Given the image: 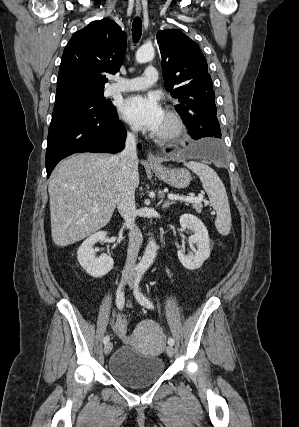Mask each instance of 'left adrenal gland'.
<instances>
[{
    "instance_id": "1",
    "label": "left adrenal gland",
    "mask_w": 299,
    "mask_h": 427,
    "mask_svg": "<svg viewBox=\"0 0 299 427\" xmlns=\"http://www.w3.org/2000/svg\"><path fill=\"white\" fill-rule=\"evenodd\" d=\"M171 204H173V202L166 201V202H164V204L162 205V207L165 209V208H168Z\"/></svg>"
}]
</instances>
